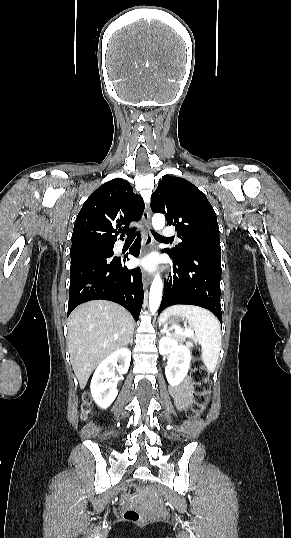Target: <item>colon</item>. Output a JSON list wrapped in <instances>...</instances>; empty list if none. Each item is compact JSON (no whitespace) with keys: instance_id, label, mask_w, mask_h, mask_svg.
Masks as SVG:
<instances>
[{"instance_id":"obj_1","label":"colon","mask_w":291,"mask_h":538,"mask_svg":"<svg viewBox=\"0 0 291 538\" xmlns=\"http://www.w3.org/2000/svg\"><path fill=\"white\" fill-rule=\"evenodd\" d=\"M192 379L194 382L195 391L192 404L186 410V416L188 418L197 417L202 413L208 403L210 393L209 374L196 354L194 355ZM90 403V396L85 394L82 404L83 415L90 413ZM125 494L127 497H134L136 494V488L134 486H129L126 489ZM124 518L133 523H142L145 521L144 516L133 509L126 510L124 513Z\"/></svg>"}]
</instances>
